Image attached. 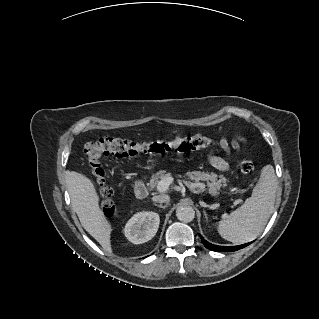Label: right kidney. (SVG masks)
<instances>
[{"label":"right kidney","mask_w":319,"mask_h":319,"mask_svg":"<svg viewBox=\"0 0 319 319\" xmlns=\"http://www.w3.org/2000/svg\"><path fill=\"white\" fill-rule=\"evenodd\" d=\"M160 218L155 212H139L126 223L124 234L133 244H142L152 239L158 228Z\"/></svg>","instance_id":"right-kidney-1"}]
</instances>
